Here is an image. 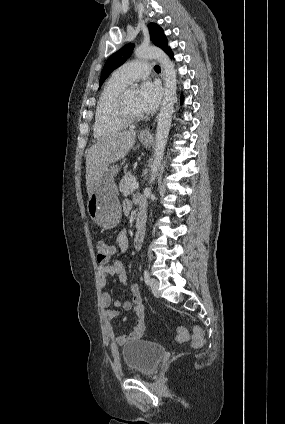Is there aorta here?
I'll use <instances>...</instances> for the list:
<instances>
[{"mask_svg":"<svg viewBox=\"0 0 285 424\" xmlns=\"http://www.w3.org/2000/svg\"><path fill=\"white\" fill-rule=\"evenodd\" d=\"M134 53L138 59H156L161 64L165 74V94L157 120L155 135L156 147L154 161L151 167L150 182L153 183L163 159L164 149L171 126L177 90L176 71L173 62L157 47L139 46L135 49ZM137 89V85H132L130 91L135 93Z\"/></svg>","mask_w":285,"mask_h":424,"instance_id":"aorta-1","label":"aorta"}]
</instances>
